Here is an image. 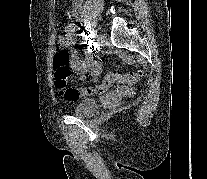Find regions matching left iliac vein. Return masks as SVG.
Segmentation results:
<instances>
[{
	"mask_svg": "<svg viewBox=\"0 0 207 179\" xmlns=\"http://www.w3.org/2000/svg\"><path fill=\"white\" fill-rule=\"evenodd\" d=\"M106 36L104 34L99 35V40L97 41V48L98 49H103L104 46L106 45Z\"/></svg>",
	"mask_w": 207,
	"mask_h": 179,
	"instance_id": "obj_1",
	"label": "left iliac vein"
}]
</instances>
